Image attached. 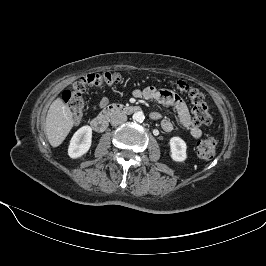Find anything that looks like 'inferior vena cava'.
Returning a JSON list of instances; mask_svg holds the SVG:
<instances>
[{
  "mask_svg": "<svg viewBox=\"0 0 266 266\" xmlns=\"http://www.w3.org/2000/svg\"><path fill=\"white\" fill-rule=\"evenodd\" d=\"M127 121V116L124 113H116L111 116L110 122L112 126H117Z\"/></svg>",
  "mask_w": 266,
  "mask_h": 266,
  "instance_id": "inferior-vena-cava-1",
  "label": "inferior vena cava"
}]
</instances>
